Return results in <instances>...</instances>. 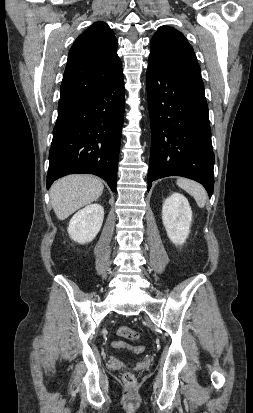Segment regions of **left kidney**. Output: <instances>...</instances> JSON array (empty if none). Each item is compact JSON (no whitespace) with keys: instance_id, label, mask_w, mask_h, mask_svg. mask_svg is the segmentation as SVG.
<instances>
[{"instance_id":"left-kidney-1","label":"left kidney","mask_w":253,"mask_h":413,"mask_svg":"<svg viewBox=\"0 0 253 413\" xmlns=\"http://www.w3.org/2000/svg\"><path fill=\"white\" fill-rule=\"evenodd\" d=\"M162 221L170 241L182 245L188 238L192 222V210L182 194L173 193L165 199Z\"/></svg>"}]
</instances>
